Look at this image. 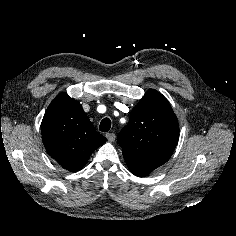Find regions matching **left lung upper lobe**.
Segmentation results:
<instances>
[{
	"mask_svg": "<svg viewBox=\"0 0 236 236\" xmlns=\"http://www.w3.org/2000/svg\"><path fill=\"white\" fill-rule=\"evenodd\" d=\"M178 138V121L169 102L151 89L133 108L117 141L124 158L159 167L171 157Z\"/></svg>",
	"mask_w": 236,
	"mask_h": 236,
	"instance_id": "5c2ea615",
	"label": "left lung upper lobe"
}]
</instances>
